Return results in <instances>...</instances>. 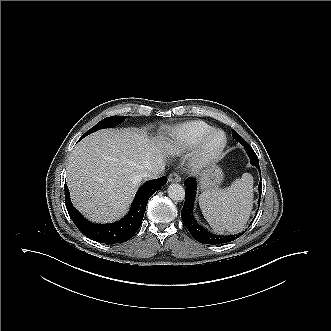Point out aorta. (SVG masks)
<instances>
[{"instance_id": "aorta-1", "label": "aorta", "mask_w": 331, "mask_h": 331, "mask_svg": "<svg viewBox=\"0 0 331 331\" xmlns=\"http://www.w3.org/2000/svg\"><path fill=\"white\" fill-rule=\"evenodd\" d=\"M168 196L173 201H183L185 199V189L178 183L170 184L168 187Z\"/></svg>"}]
</instances>
